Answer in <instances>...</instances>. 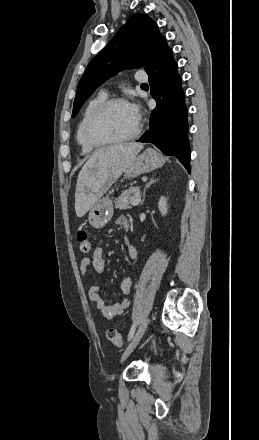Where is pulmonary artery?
I'll list each match as a JSON object with an SVG mask.
<instances>
[{
    "instance_id": "e3ab8cb5",
    "label": "pulmonary artery",
    "mask_w": 259,
    "mask_h": 440,
    "mask_svg": "<svg viewBox=\"0 0 259 440\" xmlns=\"http://www.w3.org/2000/svg\"><path fill=\"white\" fill-rule=\"evenodd\" d=\"M136 81L139 83H144L148 81V77L143 73H138L136 75Z\"/></svg>"
}]
</instances>
